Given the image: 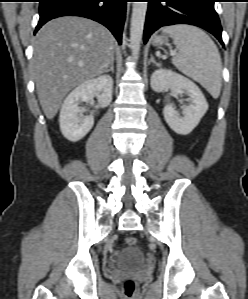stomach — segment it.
I'll return each mask as SVG.
<instances>
[{"mask_svg": "<svg viewBox=\"0 0 248 299\" xmlns=\"http://www.w3.org/2000/svg\"><path fill=\"white\" fill-rule=\"evenodd\" d=\"M167 42H168V37L167 36H156L153 39V45L154 46H161V45H163L164 43H167Z\"/></svg>", "mask_w": 248, "mask_h": 299, "instance_id": "1", "label": "stomach"}]
</instances>
